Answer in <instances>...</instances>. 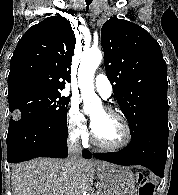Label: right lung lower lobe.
<instances>
[{"label":"right lung lower lobe","mask_w":178,"mask_h":195,"mask_svg":"<svg viewBox=\"0 0 178 195\" xmlns=\"http://www.w3.org/2000/svg\"><path fill=\"white\" fill-rule=\"evenodd\" d=\"M67 121H19L9 124L7 150L9 163H18L36 157L66 158ZM83 157L91 158L88 150Z\"/></svg>","instance_id":"right-lung-lower-lobe-1"}]
</instances>
